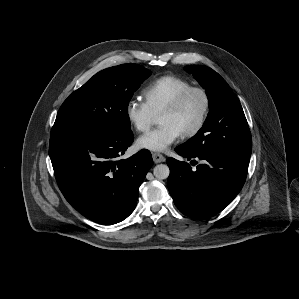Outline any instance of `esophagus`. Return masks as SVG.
<instances>
[{"label": "esophagus", "mask_w": 299, "mask_h": 299, "mask_svg": "<svg viewBox=\"0 0 299 299\" xmlns=\"http://www.w3.org/2000/svg\"><path fill=\"white\" fill-rule=\"evenodd\" d=\"M152 157L155 163H161L165 161V157L160 153H153Z\"/></svg>", "instance_id": "esophagus-1"}]
</instances>
